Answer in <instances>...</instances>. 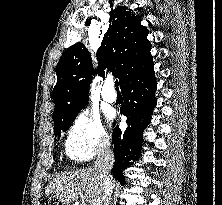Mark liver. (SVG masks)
Masks as SVG:
<instances>
[{
    "label": "liver",
    "instance_id": "obj_1",
    "mask_svg": "<svg viewBox=\"0 0 222 205\" xmlns=\"http://www.w3.org/2000/svg\"><path fill=\"white\" fill-rule=\"evenodd\" d=\"M45 193L54 194L55 197L69 204L81 197V205H101L103 186L95 168L63 173L49 182Z\"/></svg>",
    "mask_w": 222,
    "mask_h": 205
}]
</instances>
